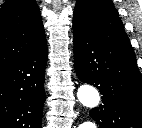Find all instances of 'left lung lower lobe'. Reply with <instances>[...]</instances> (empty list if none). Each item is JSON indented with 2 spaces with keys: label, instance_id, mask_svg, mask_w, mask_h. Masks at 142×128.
Masks as SVG:
<instances>
[{
  "label": "left lung lower lobe",
  "instance_id": "1",
  "mask_svg": "<svg viewBox=\"0 0 142 128\" xmlns=\"http://www.w3.org/2000/svg\"><path fill=\"white\" fill-rule=\"evenodd\" d=\"M73 31L77 75L103 95L90 116L99 128H142V76L134 52Z\"/></svg>",
  "mask_w": 142,
  "mask_h": 128
}]
</instances>
